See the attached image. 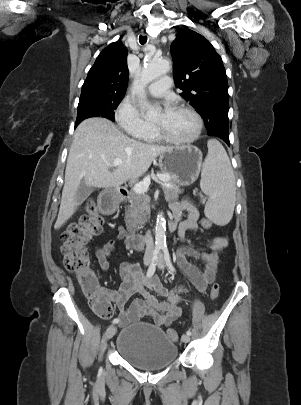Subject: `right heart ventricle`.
<instances>
[{
    "mask_svg": "<svg viewBox=\"0 0 301 405\" xmlns=\"http://www.w3.org/2000/svg\"><path fill=\"white\" fill-rule=\"evenodd\" d=\"M136 137L147 142H157L161 140L152 126L139 135H136Z\"/></svg>",
    "mask_w": 301,
    "mask_h": 405,
    "instance_id": "1",
    "label": "right heart ventricle"
}]
</instances>
